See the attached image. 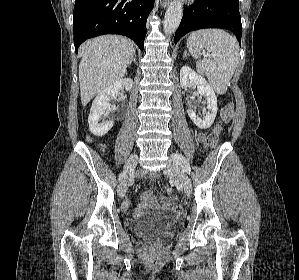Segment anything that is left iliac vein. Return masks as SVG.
Wrapping results in <instances>:
<instances>
[{"mask_svg": "<svg viewBox=\"0 0 299 280\" xmlns=\"http://www.w3.org/2000/svg\"><path fill=\"white\" fill-rule=\"evenodd\" d=\"M164 173L168 176L175 177L179 180L184 192L189 196L192 191L191 180L188 175L181 170L178 163L173 159V156L169 159L167 166L164 168Z\"/></svg>", "mask_w": 299, "mask_h": 280, "instance_id": "obj_1", "label": "left iliac vein"}]
</instances>
